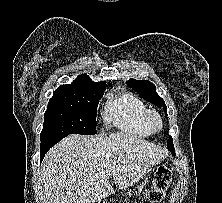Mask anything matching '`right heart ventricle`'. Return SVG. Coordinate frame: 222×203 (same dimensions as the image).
Segmentation results:
<instances>
[{"label": "right heart ventricle", "instance_id": "1", "mask_svg": "<svg viewBox=\"0 0 222 203\" xmlns=\"http://www.w3.org/2000/svg\"><path fill=\"white\" fill-rule=\"evenodd\" d=\"M148 107L131 93L112 94L106 102L103 118L123 133L146 137L150 130L146 116Z\"/></svg>", "mask_w": 222, "mask_h": 203}]
</instances>
